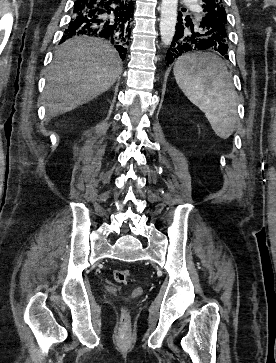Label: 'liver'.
<instances>
[{"mask_svg":"<svg viewBox=\"0 0 276 363\" xmlns=\"http://www.w3.org/2000/svg\"><path fill=\"white\" fill-rule=\"evenodd\" d=\"M121 72L119 55L108 42L87 36L65 41L48 67L43 92L47 115L55 117L91 101Z\"/></svg>","mask_w":276,"mask_h":363,"instance_id":"6515ba94","label":"liver"}]
</instances>
